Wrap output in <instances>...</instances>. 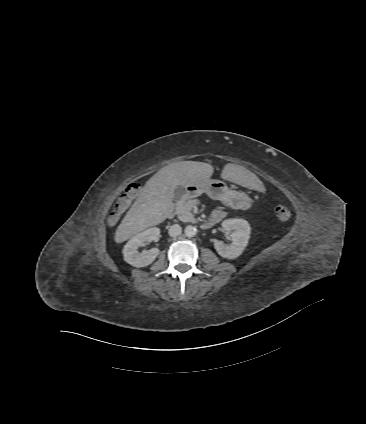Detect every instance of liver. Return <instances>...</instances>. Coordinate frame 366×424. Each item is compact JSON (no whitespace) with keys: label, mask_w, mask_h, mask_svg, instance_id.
I'll use <instances>...</instances> for the list:
<instances>
[{"label":"liver","mask_w":366,"mask_h":424,"mask_svg":"<svg viewBox=\"0 0 366 424\" xmlns=\"http://www.w3.org/2000/svg\"><path fill=\"white\" fill-rule=\"evenodd\" d=\"M214 172L212 165L197 161H181L161 168L141 189L122 222L114 240L122 243L135 234L163 222L173 208L177 186L199 185L208 181ZM221 177L246 188L262 191V181L243 166L228 163Z\"/></svg>","instance_id":"6515ba94"}]
</instances>
